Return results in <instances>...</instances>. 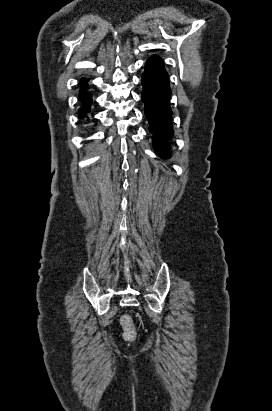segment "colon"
Here are the masks:
<instances>
[{"mask_svg": "<svg viewBox=\"0 0 272 411\" xmlns=\"http://www.w3.org/2000/svg\"><path fill=\"white\" fill-rule=\"evenodd\" d=\"M120 323L123 329V338L127 342H134L137 338V330L133 324L132 318L124 314L120 318Z\"/></svg>", "mask_w": 272, "mask_h": 411, "instance_id": "1", "label": "colon"}]
</instances>
